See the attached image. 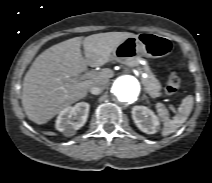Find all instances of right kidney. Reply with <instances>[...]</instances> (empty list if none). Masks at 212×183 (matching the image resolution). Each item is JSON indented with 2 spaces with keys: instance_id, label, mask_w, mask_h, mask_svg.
Returning a JSON list of instances; mask_svg holds the SVG:
<instances>
[{
  "instance_id": "right-kidney-1",
  "label": "right kidney",
  "mask_w": 212,
  "mask_h": 183,
  "mask_svg": "<svg viewBox=\"0 0 212 183\" xmlns=\"http://www.w3.org/2000/svg\"><path fill=\"white\" fill-rule=\"evenodd\" d=\"M90 105L86 102L64 108L56 119L55 127L66 135H73L87 121Z\"/></svg>"
}]
</instances>
